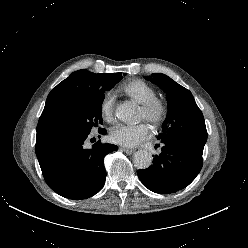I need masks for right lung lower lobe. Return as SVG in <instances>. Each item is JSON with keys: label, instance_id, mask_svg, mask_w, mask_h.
<instances>
[{"label": "right lung lower lobe", "instance_id": "1", "mask_svg": "<svg viewBox=\"0 0 248 248\" xmlns=\"http://www.w3.org/2000/svg\"><path fill=\"white\" fill-rule=\"evenodd\" d=\"M99 133L105 135L106 130L100 128ZM89 138L90 132L86 131H37L35 149L44 179L53 191L68 199H86L96 194L106 179L104 157L118 149L100 141L89 147Z\"/></svg>", "mask_w": 248, "mask_h": 248}]
</instances>
